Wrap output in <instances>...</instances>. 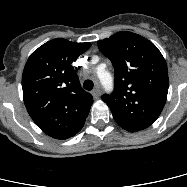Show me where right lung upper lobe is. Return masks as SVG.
I'll return each instance as SVG.
<instances>
[{
  "label": "right lung upper lobe",
  "mask_w": 187,
  "mask_h": 187,
  "mask_svg": "<svg viewBox=\"0 0 187 187\" xmlns=\"http://www.w3.org/2000/svg\"><path fill=\"white\" fill-rule=\"evenodd\" d=\"M90 46L57 38L28 58L22 75L24 103L33 121L50 137L68 139L85 123L93 98L81 88L71 64Z\"/></svg>",
  "instance_id": "1"
}]
</instances>
